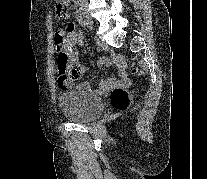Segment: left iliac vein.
Wrapping results in <instances>:
<instances>
[{
  "label": "left iliac vein",
  "mask_w": 207,
  "mask_h": 179,
  "mask_svg": "<svg viewBox=\"0 0 207 179\" xmlns=\"http://www.w3.org/2000/svg\"><path fill=\"white\" fill-rule=\"evenodd\" d=\"M87 25H88V27L91 28L92 27V22L88 20Z\"/></svg>",
  "instance_id": "obj_1"
}]
</instances>
